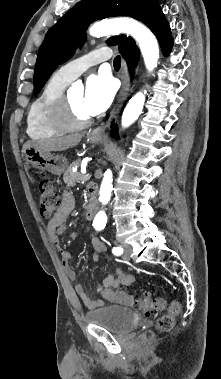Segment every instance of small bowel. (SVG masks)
Listing matches in <instances>:
<instances>
[{
	"instance_id": "obj_1",
	"label": "small bowel",
	"mask_w": 221,
	"mask_h": 379,
	"mask_svg": "<svg viewBox=\"0 0 221 379\" xmlns=\"http://www.w3.org/2000/svg\"><path fill=\"white\" fill-rule=\"evenodd\" d=\"M75 207V199L71 193L65 192L62 195L61 203L57 212L49 220L47 224V232L50 239L57 246L60 245L59 237L64 233L66 229V221ZM88 233L91 243L94 249V260H97L100 255L105 251V246L96 236H94L87 228H85ZM61 261L63 269L73 283L76 294L83 304L89 308H95L102 305V300L91 299L85 292L83 286L78 282L77 275L75 271L71 268L70 262L72 259V254L70 251L61 248L60 250ZM135 283V278L133 275L125 274L121 269H116L114 274H109L102 281L103 288H118L120 286H132Z\"/></svg>"
}]
</instances>
